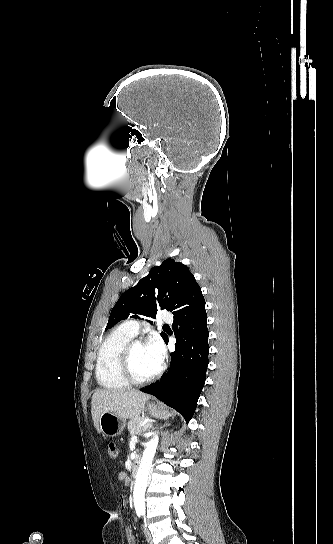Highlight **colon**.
<instances>
[{"instance_id": "5ec220e1", "label": "colon", "mask_w": 333, "mask_h": 544, "mask_svg": "<svg viewBox=\"0 0 333 544\" xmlns=\"http://www.w3.org/2000/svg\"><path fill=\"white\" fill-rule=\"evenodd\" d=\"M107 452L110 458L115 459L118 455L116 443L112 440H109L106 443Z\"/></svg>"}]
</instances>
